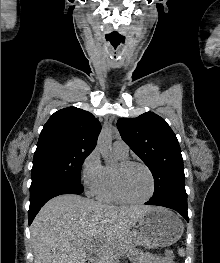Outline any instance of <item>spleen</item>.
I'll return each mask as SVG.
<instances>
[{
    "instance_id": "3e777b00",
    "label": "spleen",
    "mask_w": 220,
    "mask_h": 263,
    "mask_svg": "<svg viewBox=\"0 0 220 263\" xmlns=\"http://www.w3.org/2000/svg\"><path fill=\"white\" fill-rule=\"evenodd\" d=\"M179 253H180L181 255H184V250H183V249H180V250H179Z\"/></svg>"
}]
</instances>
